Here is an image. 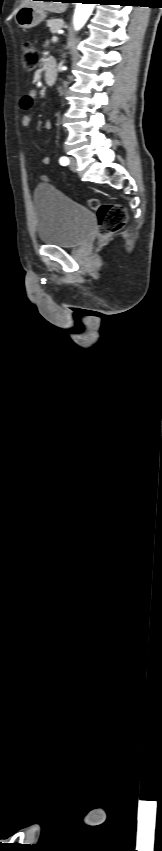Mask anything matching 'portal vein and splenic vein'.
Here are the masks:
<instances>
[{"label": "portal vein and splenic vein", "instance_id": "1", "mask_svg": "<svg viewBox=\"0 0 162 851\" xmlns=\"http://www.w3.org/2000/svg\"><path fill=\"white\" fill-rule=\"evenodd\" d=\"M57 39H58V38H57L56 36H54V37L52 38V41H53V42H56V41H57Z\"/></svg>", "mask_w": 162, "mask_h": 851}]
</instances>
